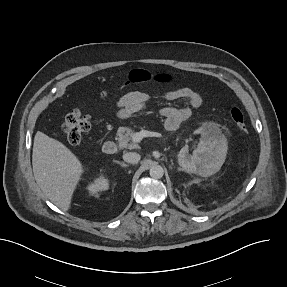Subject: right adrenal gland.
Wrapping results in <instances>:
<instances>
[{"label":"right adrenal gland","instance_id":"right-adrenal-gland-1","mask_svg":"<svg viewBox=\"0 0 287 287\" xmlns=\"http://www.w3.org/2000/svg\"><path fill=\"white\" fill-rule=\"evenodd\" d=\"M117 163L120 164V166H122V167H128V165L125 163H121V162H117Z\"/></svg>","mask_w":287,"mask_h":287}]
</instances>
